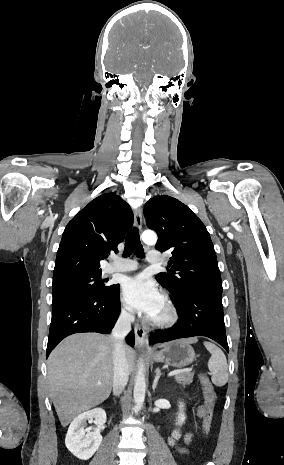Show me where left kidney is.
Here are the masks:
<instances>
[{
    "label": "left kidney",
    "mask_w": 284,
    "mask_h": 465,
    "mask_svg": "<svg viewBox=\"0 0 284 465\" xmlns=\"http://www.w3.org/2000/svg\"><path fill=\"white\" fill-rule=\"evenodd\" d=\"M178 407H179V413H178L176 425H182V423H184V421L186 419V417H185V415L183 413L185 405H184V403H179Z\"/></svg>",
    "instance_id": "obj_1"
}]
</instances>
